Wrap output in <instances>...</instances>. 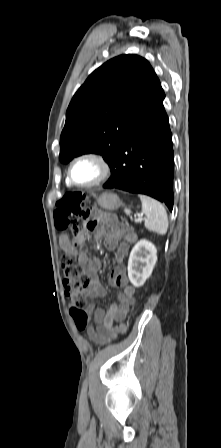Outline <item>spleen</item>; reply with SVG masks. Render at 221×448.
Segmentation results:
<instances>
[{"label": "spleen", "instance_id": "obj_1", "mask_svg": "<svg viewBox=\"0 0 221 448\" xmlns=\"http://www.w3.org/2000/svg\"><path fill=\"white\" fill-rule=\"evenodd\" d=\"M142 202V212L145 214V227L149 231L164 235L168 229V217L164 206L157 200L146 195H139Z\"/></svg>", "mask_w": 221, "mask_h": 448}]
</instances>
